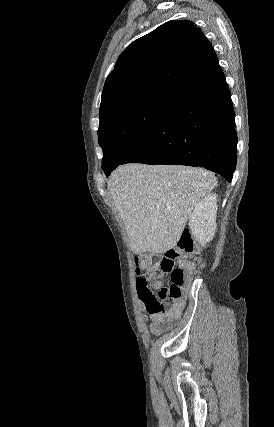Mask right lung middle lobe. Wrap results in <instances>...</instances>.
<instances>
[{"mask_svg": "<svg viewBox=\"0 0 274 427\" xmlns=\"http://www.w3.org/2000/svg\"><path fill=\"white\" fill-rule=\"evenodd\" d=\"M176 97L152 94L122 101L100 114L102 168L123 161L155 128Z\"/></svg>", "mask_w": 274, "mask_h": 427, "instance_id": "dd1d6c3e", "label": "right lung middle lobe"}]
</instances>
